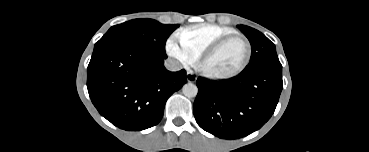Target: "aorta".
Masks as SVG:
<instances>
[{
    "mask_svg": "<svg viewBox=\"0 0 369 152\" xmlns=\"http://www.w3.org/2000/svg\"><path fill=\"white\" fill-rule=\"evenodd\" d=\"M182 93L188 98H193L197 95L198 88L193 83H186L182 87Z\"/></svg>",
    "mask_w": 369,
    "mask_h": 152,
    "instance_id": "obj_1",
    "label": "aorta"
}]
</instances>
